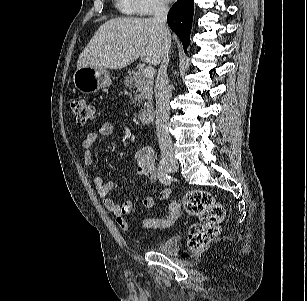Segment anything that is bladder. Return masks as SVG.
<instances>
[{
	"label": "bladder",
	"mask_w": 307,
	"mask_h": 301,
	"mask_svg": "<svg viewBox=\"0 0 307 301\" xmlns=\"http://www.w3.org/2000/svg\"><path fill=\"white\" fill-rule=\"evenodd\" d=\"M179 247V237L169 236L162 241L156 247V251L163 254H174Z\"/></svg>",
	"instance_id": "1"
}]
</instances>
